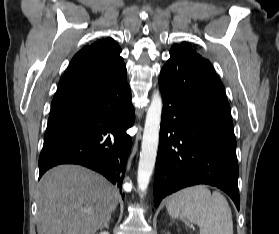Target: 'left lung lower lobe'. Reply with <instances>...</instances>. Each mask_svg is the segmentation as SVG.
<instances>
[{
    "label": "left lung lower lobe",
    "instance_id": "obj_1",
    "mask_svg": "<svg viewBox=\"0 0 279 234\" xmlns=\"http://www.w3.org/2000/svg\"><path fill=\"white\" fill-rule=\"evenodd\" d=\"M163 98L154 204L195 184L225 191L239 210L236 138L225 89L211 63L172 47L161 70Z\"/></svg>",
    "mask_w": 279,
    "mask_h": 234
}]
</instances>
